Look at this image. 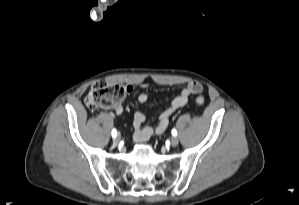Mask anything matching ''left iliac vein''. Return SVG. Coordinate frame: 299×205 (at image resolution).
Returning a JSON list of instances; mask_svg holds the SVG:
<instances>
[{
	"instance_id": "1",
	"label": "left iliac vein",
	"mask_w": 299,
	"mask_h": 205,
	"mask_svg": "<svg viewBox=\"0 0 299 205\" xmlns=\"http://www.w3.org/2000/svg\"><path fill=\"white\" fill-rule=\"evenodd\" d=\"M179 143V138L177 136H174L171 138V146L176 147Z\"/></svg>"
}]
</instances>
